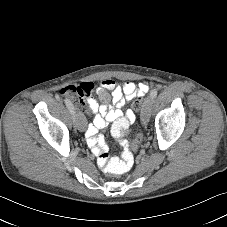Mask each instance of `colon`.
I'll return each instance as SVG.
<instances>
[{"label": "colon", "instance_id": "1", "mask_svg": "<svg viewBox=\"0 0 227 227\" xmlns=\"http://www.w3.org/2000/svg\"><path fill=\"white\" fill-rule=\"evenodd\" d=\"M61 95H67L70 97H76L79 95V90L76 89L74 86H68L63 88L60 91ZM142 105V97H138L133 102V109L135 111L140 110ZM138 138L131 146H126L124 149V158L122 161H118L116 158L111 157L108 153H101L98 157V164L99 166L104 169L106 172L112 174H122L126 172L133 163V152L137 153L140 149V145L143 143L141 139L144 136L142 131L137 133Z\"/></svg>", "mask_w": 227, "mask_h": 227}]
</instances>
